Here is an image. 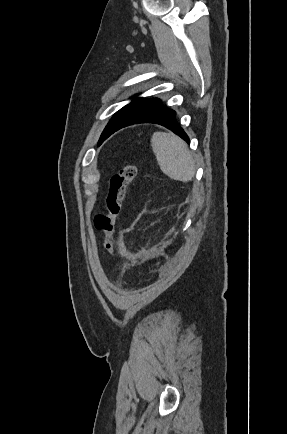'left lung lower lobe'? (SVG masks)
<instances>
[{"mask_svg": "<svg viewBox=\"0 0 287 434\" xmlns=\"http://www.w3.org/2000/svg\"><path fill=\"white\" fill-rule=\"evenodd\" d=\"M175 114L174 110L164 107L162 103L158 101L128 118L117 130L138 123H155L172 130L189 143L190 140L177 123Z\"/></svg>", "mask_w": 287, "mask_h": 434, "instance_id": "1", "label": "left lung lower lobe"}]
</instances>
